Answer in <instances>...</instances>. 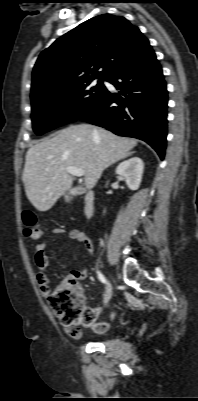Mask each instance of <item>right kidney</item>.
Instances as JSON below:
<instances>
[{"label": "right kidney", "mask_w": 198, "mask_h": 401, "mask_svg": "<svg viewBox=\"0 0 198 401\" xmlns=\"http://www.w3.org/2000/svg\"><path fill=\"white\" fill-rule=\"evenodd\" d=\"M144 170V163L139 157H132L120 163L116 174L123 176L129 189L137 190L140 186Z\"/></svg>", "instance_id": "obj_1"}]
</instances>
